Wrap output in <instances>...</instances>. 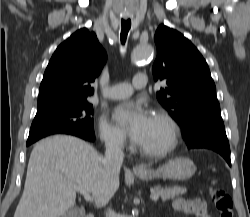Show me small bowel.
<instances>
[{
    "instance_id": "obj_1",
    "label": "small bowel",
    "mask_w": 250,
    "mask_h": 217,
    "mask_svg": "<svg viewBox=\"0 0 250 217\" xmlns=\"http://www.w3.org/2000/svg\"><path fill=\"white\" fill-rule=\"evenodd\" d=\"M173 209L177 212L190 214L197 217H211L207 213V203L203 198H177L173 202Z\"/></svg>"
}]
</instances>
